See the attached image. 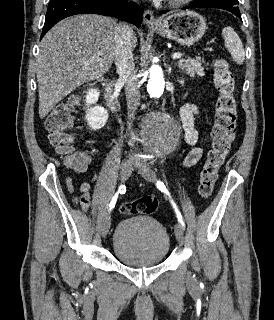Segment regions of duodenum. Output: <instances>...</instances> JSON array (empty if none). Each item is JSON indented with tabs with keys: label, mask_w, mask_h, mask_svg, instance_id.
<instances>
[{
	"label": "duodenum",
	"mask_w": 274,
	"mask_h": 320,
	"mask_svg": "<svg viewBox=\"0 0 274 320\" xmlns=\"http://www.w3.org/2000/svg\"><path fill=\"white\" fill-rule=\"evenodd\" d=\"M116 79L110 78L105 82L103 98L108 109L116 112L119 109V102L116 97Z\"/></svg>",
	"instance_id": "410a0bca"
}]
</instances>
